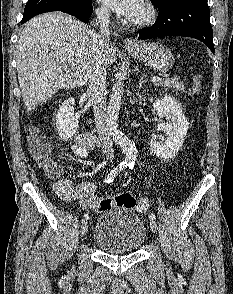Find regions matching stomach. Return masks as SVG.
Segmentation results:
<instances>
[{
  "label": "stomach",
  "mask_w": 233,
  "mask_h": 294,
  "mask_svg": "<svg viewBox=\"0 0 233 294\" xmlns=\"http://www.w3.org/2000/svg\"><path fill=\"white\" fill-rule=\"evenodd\" d=\"M134 58L143 61L159 72L169 71L174 64L173 54L159 43H143L136 49H128Z\"/></svg>",
  "instance_id": "0dacf381"
}]
</instances>
